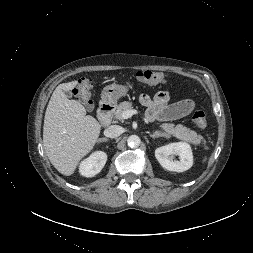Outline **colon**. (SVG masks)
Wrapping results in <instances>:
<instances>
[{
	"label": "colon",
	"instance_id": "obj_1",
	"mask_svg": "<svg viewBox=\"0 0 253 253\" xmlns=\"http://www.w3.org/2000/svg\"><path fill=\"white\" fill-rule=\"evenodd\" d=\"M136 79L144 84H160L167 81V75L162 72L151 71V70H141L135 74ZM93 87V81L88 78H81L76 83L73 93L82 102V104L87 108L91 109L93 102L91 100V91ZM192 120L195 125L201 129L207 126V117L204 111L196 110L193 113Z\"/></svg>",
	"mask_w": 253,
	"mask_h": 253
}]
</instances>
